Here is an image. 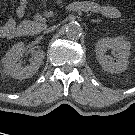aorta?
<instances>
[{"mask_svg":"<svg viewBox=\"0 0 135 135\" xmlns=\"http://www.w3.org/2000/svg\"><path fill=\"white\" fill-rule=\"evenodd\" d=\"M65 32H66V35L69 38L77 39L82 34V28H81L79 23H77V22H70V23H68L66 25Z\"/></svg>","mask_w":135,"mask_h":135,"instance_id":"obj_1","label":"aorta"}]
</instances>
